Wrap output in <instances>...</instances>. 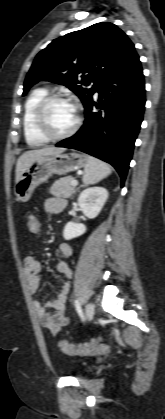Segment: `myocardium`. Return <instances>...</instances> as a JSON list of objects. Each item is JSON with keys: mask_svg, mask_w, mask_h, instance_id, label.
Listing matches in <instances>:
<instances>
[{"mask_svg": "<svg viewBox=\"0 0 165 419\" xmlns=\"http://www.w3.org/2000/svg\"><path fill=\"white\" fill-rule=\"evenodd\" d=\"M54 102H69L74 106L76 110V119L74 124L71 126L69 130L61 134L53 133L50 130L47 121V110L49 106ZM34 120L38 132L48 141L63 140L71 137L78 130L82 120L81 109L79 105L69 97L60 94L46 95L43 99L39 101V103L36 106Z\"/></svg>", "mask_w": 165, "mask_h": 419, "instance_id": "myocardium-1", "label": "myocardium"}]
</instances>
